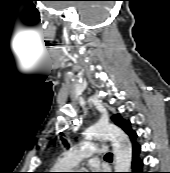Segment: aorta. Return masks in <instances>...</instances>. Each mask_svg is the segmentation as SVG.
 Wrapping results in <instances>:
<instances>
[{
	"label": "aorta",
	"mask_w": 170,
	"mask_h": 173,
	"mask_svg": "<svg viewBox=\"0 0 170 173\" xmlns=\"http://www.w3.org/2000/svg\"><path fill=\"white\" fill-rule=\"evenodd\" d=\"M88 138H103L112 142L115 172H129L132 161V147L127 135L110 123H97L86 130Z\"/></svg>",
	"instance_id": "obj_1"
}]
</instances>
